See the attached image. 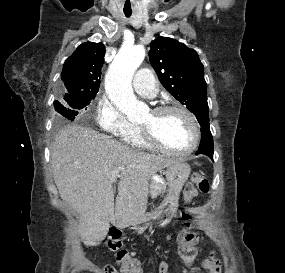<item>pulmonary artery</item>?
I'll return each mask as SVG.
<instances>
[{"label": "pulmonary artery", "mask_w": 285, "mask_h": 273, "mask_svg": "<svg viewBox=\"0 0 285 273\" xmlns=\"http://www.w3.org/2000/svg\"><path fill=\"white\" fill-rule=\"evenodd\" d=\"M133 87L138 93L149 98L155 97L158 92V83L148 68H141L136 72Z\"/></svg>", "instance_id": "pulmonary-artery-1"}]
</instances>
